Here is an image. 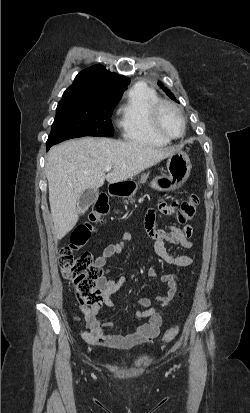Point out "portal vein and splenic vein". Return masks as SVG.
I'll use <instances>...</instances> for the list:
<instances>
[{"label": "portal vein and splenic vein", "instance_id": "portal-vein-and-splenic-vein-1", "mask_svg": "<svg viewBox=\"0 0 250 413\" xmlns=\"http://www.w3.org/2000/svg\"><path fill=\"white\" fill-rule=\"evenodd\" d=\"M111 168H112V165H111V164H108L107 166H105L104 171H105V172H108V171L111 170Z\"/></svg>", "mask_w": 250, "mask_h": 413}]
</instances>
